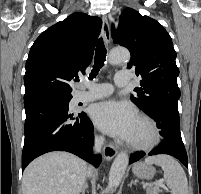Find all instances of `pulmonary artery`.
I'll use <instances>...</instances> for the list:
<instances>
[{
	"label": "pulmonary artery",
	"mask_w": 201,
	"mask_h": 194,
	"mask_svg": "<svg viewBox=\"0 0 201 194\" xmlns=\"http://www.w3.org/2000/svg\"><path fill=\"white\" fill-rule=\"evenodd\" d=\"M129 80V74L126 71L116 73L114 78L115 85L119 87L127 85ZM113 91L114 87L109 83L89 84L87 85V90H80L76 93L75 100L77 102H89L107 97L111 95Z\"/></svg>",
	"instance_id": "1"
}]
</instances>
